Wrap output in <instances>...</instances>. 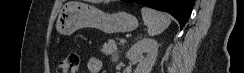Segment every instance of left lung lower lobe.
<instances>
[{
  "mask_svg": "<svg viewBox=\"0 0 244 73\" xmlns=\"http://www.w3.org/2000/svg\"><path fill=\"white\" fill-rule=\"evenodd\" d=\"M141 5L165 11L174 16L180 23L181 28L190 17L194 0H126Z\"/></svg>",
  "mask_w": 244,
  "mask_h": 73,
  "instance_id": "obj_1",
  "label": "left lung lower lobe"
}]
</instances>
